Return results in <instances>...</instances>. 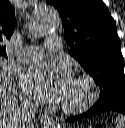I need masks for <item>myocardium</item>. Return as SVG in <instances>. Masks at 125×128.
<instances>
[{"instance_id": "myocardium-1", "label": "myocardium", "mask_w": 125, "mask_h": 128, "mask_svg": "<svg viewBox=\"0 0 125 128\" xmlns=\"http://www.w3.org/2000/svg\"><path fill=\"white\" fill-rule=\"evenodd\" d=\"M73 82L83 87V96L76 102L64 101L62 109L69 114L78 113L88 109L96 101L99 91L95 81L88 75H77Z\"/></svg>"}]
</instances>
